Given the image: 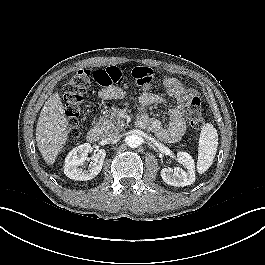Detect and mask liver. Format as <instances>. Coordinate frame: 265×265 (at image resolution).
I'll return each mask as SVG.
<instances>
[{"instance_id":"6515ba94","label":"liver","mask_w":265,"mask_h":265,"mask_svg":"<svg viewBox=\"0 0 265 265\" xmlns=\"http://www.w3.org/2000/svg\"><path fill=\"white\" fill-rule=\"evenodd\" d=\"M68 139V121L58 93L52 94L40 112L36 127L38 149L48 165H53Z\"/></svg>"}]
</instances>
